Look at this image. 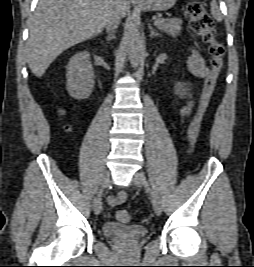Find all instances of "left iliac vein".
<instances>
[{
	"label": "left iliac vein",
	"mask_w": 254,
	"mask_h": 267,
	"mask_svg": "<svg viewBox=\"0 0 254 267\" xmlns=\"http://www.w3.org/2000/svg\"><path fill=\"white\" fill-rule=\"evenodd\" d=\"M133 181L138 186L149 189L147 179L142 172H136L133 176ZM150 193H151V201H152L153 209L157 215H160L162 212L160 198L154 191L150 190Z\"/></svg>",
	"instance_id": "4c4485c4"
}]
</instances>
